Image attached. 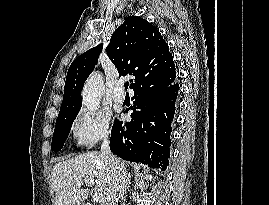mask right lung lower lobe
I'll return each instance as SVG.
<instances>
[{
  "instance_id": "right-lung-lower-lobe-1",
  "label": "right lung lower lobe",
  "mask_w": 269,
  "mask_h": 205,
  "mask_svg": "<svg viewBox=\"0 0 269 205\" xmlns=\"http://www.w3.org/2000/svg\"><path fill=\"white\" fill-rule=\"evenodd\" d=\"M179 84L168 82L134 92L131 122H114L110 149L122 159L165 170Z\"/></svg>"
}]
</instances>
